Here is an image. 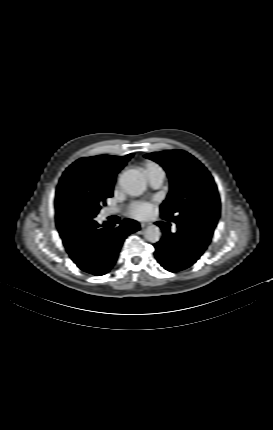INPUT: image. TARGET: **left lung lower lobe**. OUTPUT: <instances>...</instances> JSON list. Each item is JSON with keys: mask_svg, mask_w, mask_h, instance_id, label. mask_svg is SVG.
<instances>
[{"mask_svg": "<svg viewBox=\"0 0 273 430\" xmlns=\"http://www.w3.org/2000/svg\"><path fill=\"white\" fill-rule=\"evenodd\" d=\"M163 230L164 237L155 246V257L166 270L177 272L193 265L207 248L196 235L185 226H178L175 233L163 223H157Z\"/></svg>", "mask_w": 273, "mask_h": 430, "instance_id": "1", "label": "left lung lower lobe"}]
</instances>
